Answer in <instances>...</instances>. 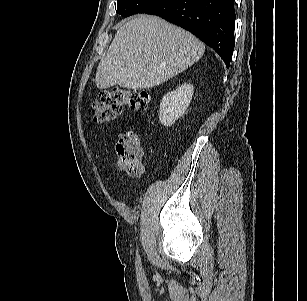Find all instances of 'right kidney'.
I'll return each instance as SVG.
<instances>
[{"instance_id":"obj_1","label":"right kidney","mask_w":307,"mask_h":301,"mask_svg":"<svg viewBox=\"0 0 307 301\" xmlns=\"http://www.w3.org/2000/svg\"><path fill=\"white\" fill-rule=\"evenodd\" d=\"M193 93V85L184 84L164 95L159 110L161 124L164 126L173 125L185 113L192 100Z\"/></svg>"}]
</instances>
